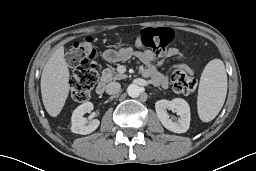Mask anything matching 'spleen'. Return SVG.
Segmentation results:
<instances>
[{
    "mask_svg": "<svg viewBox=\"0 0 256 171\" xmlns=\"http://www.w3.org/2000/svg\"><path fill=\"white\" fill-rule=\"evenodd\" d=\"M227 94V73L222 60L213 59L205 66L199 83L197 110L203 122L212 121L220 112Z\"/></svg>",
    "mask_w": 256,
    "mask_h": 171,
    "instance_id": "obj_1",
    "label": "spleen"
}]
</instances>
